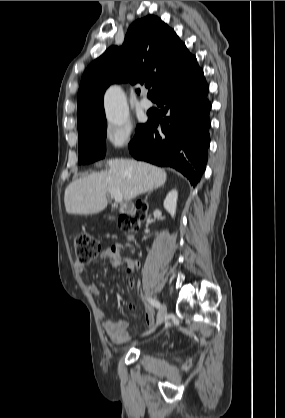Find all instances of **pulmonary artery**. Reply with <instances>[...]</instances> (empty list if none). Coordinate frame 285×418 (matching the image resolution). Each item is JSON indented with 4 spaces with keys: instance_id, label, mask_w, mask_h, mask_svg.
Returning a JSON list of instances; mask_svg holds the SVG:
<instances>
[{
    "instance_id": "1",
    "label": "pulmonary artery",
    "mask_w": 285,
    "mask_h": 418,
    "mask_svg": "<svg viewBox=\"0 0 285 418\" xmlns=\"http://www.w3.org/2000/svg\"><path fill=\"white\" fill-rule=\"evenodd\" d=\"M140 106L143 110H149L152 107V102L147 97H143L140 100Z\"/></svg>"
}]
</instances>
